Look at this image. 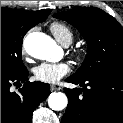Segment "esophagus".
I'll return each instance as SVG.
<instances>
[{
	"mask_svg": "<svg viewBox=\"0 0 123 123\" xmlns=\"http://www.w3.org/2000/svg\"><path fill=\"white\" fill-rule=\"evenodd\" d=\"M50 90H51V91H57V90H60V88L57 87V86H55V85H51V86H50Z\"/></svg>",
	"mask_w": 123,
	"mask_h": 123,
	"instance_id": "34e87169",
	"label": "esophagus"
}]
</instances>
